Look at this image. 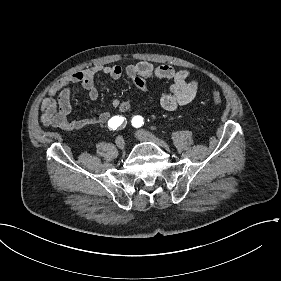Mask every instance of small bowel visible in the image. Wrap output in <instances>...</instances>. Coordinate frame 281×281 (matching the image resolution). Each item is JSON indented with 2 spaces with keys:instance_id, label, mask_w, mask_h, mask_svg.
I'll return each mask as SVG.
<instances>
[{
  "instance_id": "c3829d8e",
  "label": "small bowel",
  "mask_w": 281,
  "mask_h": 281,
  "mask_svg": "<svg viewBox=\"0 0 281 281\" xmlns=\"http://www.w3.org/2000/svg\"><path fill=\"white\" fill-rule=\"evenodd\" d=\"M103 75L114 80H118L125 75L142 91L147 89L146 79L148 78L156 77L171 80L170 93L162 95L160 99L161 106L170 112L191 103L198 88V83L189 79L190 74L187 70H176L169 65L155 66L147 61L129 64L126 67L97 65L62 78L51 89L49 97L45 98L41 103L42 124L46 127L65 131H77L95 124H106L112 117L108 111H103L96 117L78 119L68 117L72 109V86H81L87 91L88 98L95 101L99 97L95 80ZM112 106L120 113H125L130 109L131 105L129 100L115 99Z\"/></svg>"
}]
</instances>
